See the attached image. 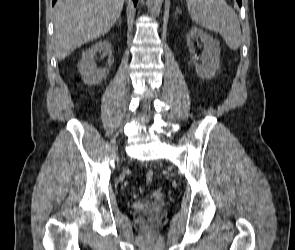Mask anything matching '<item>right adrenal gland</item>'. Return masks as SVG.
Segmentation results:
<instances>
[{
  "label": "right adrenal gland",
  "mask_w": 295,
  "mask_h": 250,
  "mask_svg": "<svg viewBox=\"0 0 295 250\" xmlns=\"http://www.w3.org/2000/svg\"><path fill=\"white\" fill-rule=\"evenodd\" d=\"M117 22H118L119 24L121 23V17H120V16L117 18Z\"/></svg>",
  "instance_id": "obj_1"
}]
</instances>
